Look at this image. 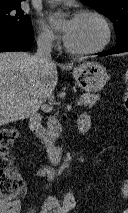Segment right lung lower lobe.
<instances>
[{
  "label": "right lung lower lobe",
  "mask_w": 128,
  "mask_h": 213,
  "mask_svg": "<svg viewBox=\"0 0 128 213\" xmlns=\"http://www.w3.org/2000/svg\"><path fill=\"white\" fill-rule=\"evenodd\" d=\"M34 41L33 31L29 33H0V52L27 51Z\"/></svg>",
  "instance_id": "98d812e1"
}]
</instances>
